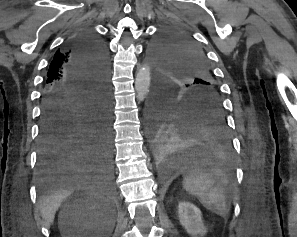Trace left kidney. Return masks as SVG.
<instances>
[{"label":"left kidney","instance_id":"5707ae66","mask_svg":"<svg viewBox=\"0 0 297 237\" xmlns=\"http://www.w3.org/2000/svg\"><path fill=\"white\" fill-rule=\"evenodd\" d=\"M199 208L189 202H180L178 205V217L180 224L186 232L193 237L203 236L207 229L204 226Z\"/></svg>","mask_w":297,"mask_h":237}]
</instances>
